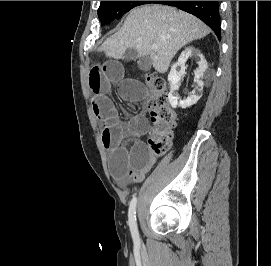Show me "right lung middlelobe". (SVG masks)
<instances>
[{"label": "right lung middle lobe", "instance_id": "obj_1", "mask_svg": "<svg viewBox=\"0 0 271 266\" xmlns=\"http://www.w3.org/2000/svg\"><path fill=\"white\" fill-rule=\"evenodd\" d=\"M152 1H101L98 16L101 25H106L115 19H119L126 12L136 6L149 4Z\"/></svg>", "mask_w": 271, "mask_h": 266}]
</instances>
